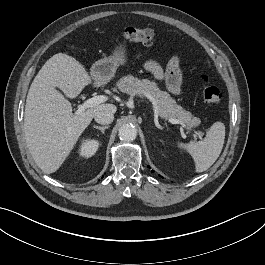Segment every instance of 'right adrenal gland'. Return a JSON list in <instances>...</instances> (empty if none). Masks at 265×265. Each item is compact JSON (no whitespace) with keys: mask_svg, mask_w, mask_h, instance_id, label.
I'll return each instance as SVG.
<instances>
[{"mask_svg":"<svg viewBox=\"0 0 265 265\" xmlns=\"http://www.w3.org/2000/svg\"><path fill=\"white\" fill-rule=\"evenodd\" d=\"M93 128H95V129H97V130H100V131L104 134V131H105L106 129H108L109 126H96V125H94Z\"/></svg>","mask_w":265,"mask_h":265,"instance_id":"2a0ac1e0","label":"right adrenal gland"}]
</instances>
